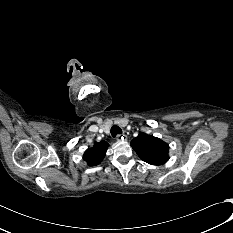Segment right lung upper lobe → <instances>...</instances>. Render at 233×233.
I'll use <instances>...</instances> for the list:
<instances>
[{
	"instance_id": "1",
	"label": "right lung upper lobe",
	"mask_w": 233,
	"mask_h": 233,
	"mask_svg": "<svg viewBox=\"0 0 233 233\" xmlns=\"http://www.w3.org/2000/svg\"><path fill=\"white\" fill-rule=\"evenodd\" d=\"M107 148L108 143L105 141L95 143L92 148H89L85 151L83 158L89 166H96L100 164L105 157Z\"/></svg>"
}]
</instances>
